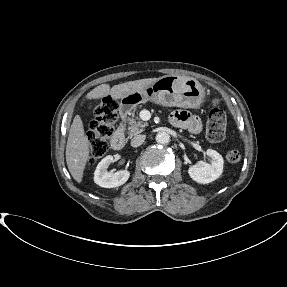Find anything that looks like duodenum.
I'll return each instance as SVG.
<instances>
[{
	"label": "duodenum",
	"mask_w": 287,
	"mask_h": 287,
	"mask_svg": "<svg viewBox=\"0 0 287 287\" xmlns=\"http://www.w3.org/2000/svg\"><path fill=\"white\" fill-rule=\"evenodd\" d=\"M111 145L115 150H121L125 146V135L121 128L117 129L112 136Z\"/></svg>",
	"instance_id": "410a0bca"
}]
</instances>
